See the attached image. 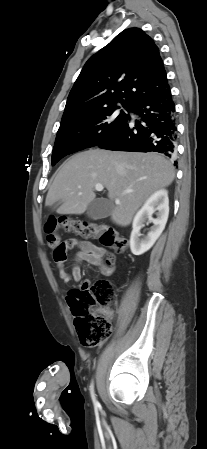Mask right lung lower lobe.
Instances as JSON below:
<instances>
[{
	"label": "right lung lower lobe",
	"mask_w": 207,
	"mask_h": 449,
	"mask_svg": "<svg viewBox=\"0 0 207 449\" xmlns=\"http://www.w3.org/2000/svg\"><path fill=\"white\" fill-rule=\"evenodd\" d=\"M130 111L141 117L135 125L126 123L98 146L107 150L159 152L170 158L176 153L177 127L171 91L143 100ZM177 162L175 161V164Z\"/></svg>",
	"instance_id": "98d812e1"
}]
</instances>
